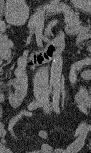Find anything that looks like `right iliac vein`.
I'll return each mask as SVG.
<instances>
[{
    "label": "right iliac vein",
    "instance_id": "obj_1",
    "mask_svg": "<svg viewBox=\"0 0 91 153\" xmlns=\"http://www.w3.org/2000/svg\"><path fill=\"white\" fill-rule=\"evenodd\" d=\"M43 96L42 93L39 91L35 94V101L40 102L42 100Z\"/></svg>",
    "mask_w": 91,
    "mask_h": 153
}]
</instances>
